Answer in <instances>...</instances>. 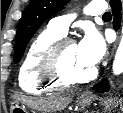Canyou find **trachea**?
Wrapping results in <instances>:
<instances>
[{
    "instance_id": "obj_1",
    "label": "trachea",
    "mask_w": 123,
    "mask_h": 113,
    "mask_svg": "<svg viewBox=\"0 0 123 113\" xmlns=\"http://www.w3.org/2000/svg\"><path fill=\"white\" fill-rule=\"evenodd\" d=\"M103 18H111V13L110 12H105L103 14Z\"/></svg>"
}]
</instances>
